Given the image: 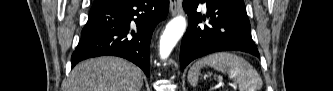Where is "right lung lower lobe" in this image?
Returning a JSON list of instances; mask_svg holds the SVG:
<instances>
[{"label":"right lung lower lobe","mask_w":333,"mask_h":91,"mask_svg":"<svg viewBox=\"0 0 333 91\" xmlns=\"http://www.w3.org/2000/svg\"><path fill=\"white\" fill-rule=\"evenodd\" d=\"M168 9L169 0H122L93 6L72 55V68L84 59L109 55L133 62L149 76L152 32Z\"/></svg>","instance_id":"1"}]
</instances>
